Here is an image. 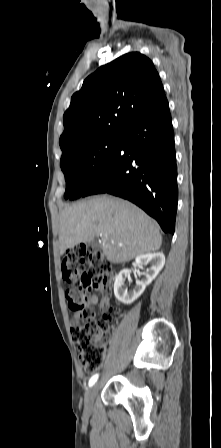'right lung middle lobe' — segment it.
<instances>
[{"instance_id": "right-lung-middle-lobe-1", "label": "right lung middle lobe", "mask_w": 221, "mask_h": 448, "mask_svg": "<svg viewBox=\"0 0 221 448\" xmlns=\"http://www.w3.org/2000/svg\"><path fill=\"white\" fill-rule=\"evenodd\" d=\"M118 135L99 138L81 145L61 158L60 165L65 175V199L82 197L93 178L104 167L112 155Z\"/></svg>"}]
</instances>
